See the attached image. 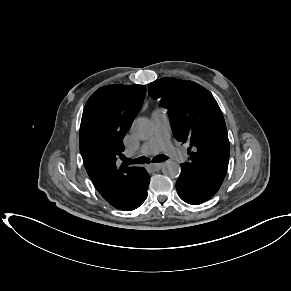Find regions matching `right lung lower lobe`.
I'll list each match as a JSON object with an SVG mask.
<instances>
[{
  "instance_id": "98d812e1",
  "label": "right lung lower lobe",
  "mask_w": 291,
  "mask_h": 291,
  "mask_svg": "<svg viewBox=\"0 0 291 291\" xmlns=\"http://www.w3.org/2000/svg\"><path fill=\"white\" fill-rule=\"evenodd\" d=\"M136 179L138 181L137 189L131 196L130 200L115 208L124 211H131L138 208L145 201L147 198V189L149 187V175L147 171L144 168H140Z\"/></svg>"
}]
</instances>
